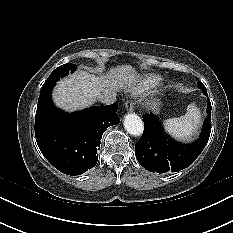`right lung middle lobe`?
Segmentation results:
<instances>
[{
	"label": "right lung middle lobe",
	"mask_w": 233,
	"mask_h": 233,
	"mask_svg": "<svg viewBox=\"0 0 233 233\" xmlns=\"http://www.w3.org/2000/svg\"><path fill=\"white\" fill-rule=\"evenodd\" d=\"M75 69V64L67 63L59 66L50 74L39 95L37 110H41L49 105L51 101V90L55 82L59 80L61 77L67 75L70 71H75Z\"/></svg>",
	"instance_id": "1"
}]
</instances>
